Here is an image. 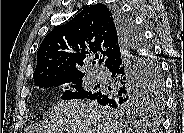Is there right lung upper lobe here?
<instances>
[{"label": "right lung upper lobe", "mask_w": 184, "mask_h": 133, "mask_svg": "<svg viewBox=\"0 0 184 133\" xmlns=\"http://www.w3.org/2000/svg\"><path fill=\"white\" fill-rule=\"evenodd\" d=\"M122 38L112 9L104 4L85 7L67 24L48 33L37 52L34 82L54 76H84L76 66L96 54L107 66L121 51Z\"/></svg>", "instance_id": "cb5924a9"}]
</instances>
